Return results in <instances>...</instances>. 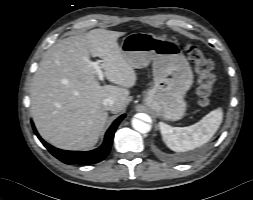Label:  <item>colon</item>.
<instances>
[{"label":"colon","mask_w":253,"mask_h":200,"mask_svg":"<svg viewBox=\"0 0 253 200\" xmlns=\"http://www.w3.org/2000/svg\"><path fill=\"white\" fill-rule=\"evenodd\" d=\"M186 53L198 76V102L202 106H207L210 103L216 80L213 74V62L197 46L188 45Z\"/></svg>","instance_id":"1"}]
</instances>
